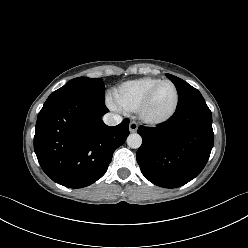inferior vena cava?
<instances>
[{
  "mask_svg": "<svg viewBox=\"0 0 248 248\" xmlns=\"http://www.w3.org/2000/svg\"><path fill=\"white\" fill-rule=\"evenodd\" d=\"M103 121L108 126H115L122 122V117L118 114L107 113L104 115Z\"/></svg>",
  "mask_w": 248,
  "mask_h": 248,
  "instance_id": "inferior-vena-cava-1",
  "label": "inferior vena cava"
}]
</instances>
